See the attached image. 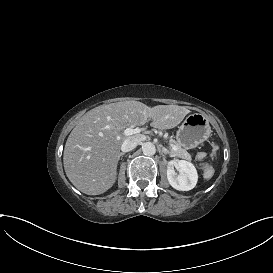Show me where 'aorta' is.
<instances>
[{"label":"aorta","instance_id":"1","mask_svg":"<svg viewBox=\"0 0 273 273\" xmlns=\"http://www.w3.org/2000/svg\"><path fill=\"white\" fill-rule=\"evenodd\" d=\"M142 151L144 155H154L156 153L155 145L151 142H145L142 144Z\"/></svg>","mask_w":273,"mask_h":273}]
</instances>
